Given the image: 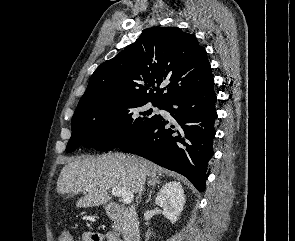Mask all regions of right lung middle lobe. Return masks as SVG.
<instances>
[{"label": "right lung middle lobe", "mask_w": 295, "mask_h": 241, "mask_svg": "<svg viewBox=\"0 0 295 241\" xmlns=\"http://www.w3.org/2000/svg\"><path fill=\"white\" fill-rule=\"evenodd\" d=\"M138 102L123 97H98L79 101L72 117V136L66 147L72 152L80 145L99 151L118 148L141 132L159 115ZM161 108L162 105L153 104Z\"/></svg>", "instance_id": "obj_1"}]
</instances>
